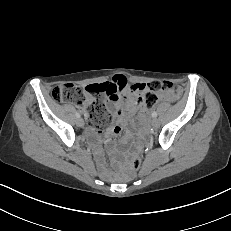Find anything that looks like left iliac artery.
Here are the masks:
<instances>
[{
  "label": "left iliac artery",
  "mask_w": 231,
  "mask_h": 231,
  "mask_svg": "<svg viewBox=\"0 0 231 231\" xmlns=\"http://www.w3.org/2000/svg\"><path fill=\"white\" fill-rule=\"evenodd\" d=\"M152 117L156 118L157 117V113L154 111L152 112Z\"/></svg>",
  "instance_id": "44dca946"
}]
</instances>
